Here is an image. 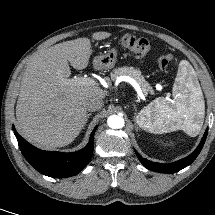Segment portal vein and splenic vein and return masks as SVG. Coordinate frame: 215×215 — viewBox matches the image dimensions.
<instances>
[{
  "mask_svg": "<svg viewBox=\"0 0 215 215\" xmlns=\"http://www.w3.org/2000/svg\"><path fill=\"white\" fill-rule=\"evenodd\" d=\"M66 84L69 86H93V85H96V82L94 79L90 77L81 76V77H74L72 79H67Z\"/></svg>",
  "mask_w": 215,
  "mask_h": 215,
  "instance_id": "1",
  "label": "portal vein and splenic vein"
}]
</instances>
